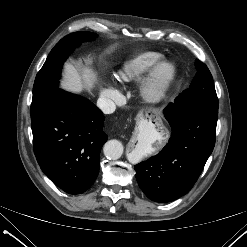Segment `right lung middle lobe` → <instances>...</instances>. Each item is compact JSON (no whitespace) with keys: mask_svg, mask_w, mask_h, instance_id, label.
Instances as JSON below:
<instances>
[{"mask_svg":"<svg viewBox=\"0 0 247 247\" xmlns=\"http://www.w3.org/2000/svg\"><path fill=\"white\" fill-rule=\"evenodd\" d=\"M97 34L91 32H75L61 39L51 50L46 62L38 72L31 104V120H34L49 104L53 95L59 90L58 84L62 64L68 55L81 42L95 38Z\"/></svg>","mask_w":247,"mask_h":247,"instance_id":"dd1d6c3e","label":"right lung middle lobe"}]
</instances>
